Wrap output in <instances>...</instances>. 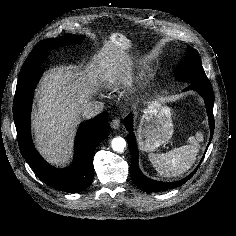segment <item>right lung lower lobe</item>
Here are the masks:
<instances>
[{
    "instance_id": "right-lung-lower-lobe-1",
    "label": "right lung lower lobe",
    "mask_w": 236,
    "mask_h": 236,
    "mask_svg": "<svg viewBox=\"0 0 236 236\" xmlns=\"http://www.w3.org/2000/svg\"><path fill=\"white\" fill-rule=\"evenodd\" d=\"M41 68L19 76L13 103V117L22 156L38 177L60 191H84L93 180V153L97 145L109 134L108 115L103 112L82 123L75 139V156L71 166L56 169L50 166L35 150L30 132V112L34 89L41 77Z\"/></svg>"
}]
</instances>
